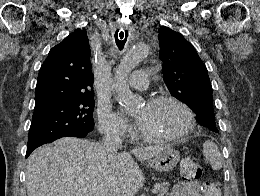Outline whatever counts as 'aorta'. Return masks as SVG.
Masks as SVG:
<instances>
[{
  "mask_svg": "<svg viewBox=\"0 0 260 196\" xmlns=\"http://www.w3.org/2000/svg\"><path fill=\"white\" fill-rule=\"evenodd\" d=\"M147 54L148 49L144 45H136L130 48L122 57L115 71L113 87L117 94L116 99L128 112L135 111L140 102V99L131 92L128 86V76Z\"/></svg>",
  "mask_w": 260,
  "mask_h": 196,
  "instance_id": "aorta-1",
  "label": "aorta"
}]
</instances>
